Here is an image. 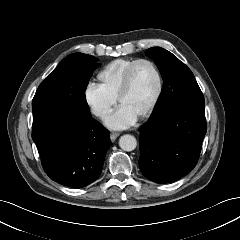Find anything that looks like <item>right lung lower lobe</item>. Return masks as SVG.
<instances>
[{
	"instance_id": "obj_1",
	"label": "right lung lower lobe",
	"mask_w": 240,
	"mask_h": 240,
	"mask_svg": "<svg viewBox=\"0 0 240 240\" xmlns=\"http://www.w3.org/2000/svg\"><path fill=\"white\" fill-rule=\"evenodd\" d=\"M32 139L46 174L57 183L82 188L100 175L110 133L90 110L58 104L33 108Z\"/></svg>"
}]
</instances>
